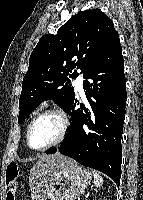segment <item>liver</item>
<instances>
[{
    "label": "liver",
    "instance_id": "obj_1",
    "mask_svg": "<svg viewBox=\"0 0 143 200\" xmlns=\"http://www.w3.org/2000/svg\"><path fill=\"white\" fill-rule=\"evenodd\" d=\"M74 161L60 153L44 155L31 168L29 186L32 200H43L53 174L67 164Z\"/></svg>",
    "mask_w": 143,
    "mask_h": 200
}]
</instances>
